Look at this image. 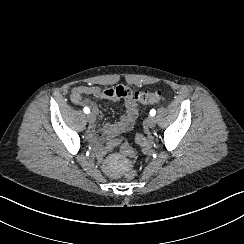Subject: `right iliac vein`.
<instances>
[{
	"label": "right iliac vein",
	"instance_id": "1",
	"mask_svg": "<svg viewBox=\"0 0 244 244\" xmlns=\"http://www.w3.org/2000/svg\"><path fill=\"white\" fill-rule=\"evenodd\" d=\"M87 120L88 122L93 123L95 121V115L93 113H88Z\"/></svg>",
	"mask_w": 244,
	"mask_h": 244
}]
</instances>
